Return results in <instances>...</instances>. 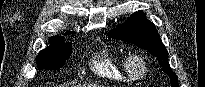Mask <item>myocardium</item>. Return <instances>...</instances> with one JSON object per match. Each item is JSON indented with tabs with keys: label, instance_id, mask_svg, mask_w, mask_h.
Returning a JSON list of instances; mask_svg holds the SVG:
<instances>
[{
	"label": "myocardium",
	"instance_id": "obj_1",
	"mask_svg": "<svg viewBox=\"0 0 205 87\" xmlns=\"http://www.w3.org/2000/svg\"><path fill=\"white\" fill-rule=\"evenodd\" d=\"M126 64L135 78H143L148 72V62L146 58L139 53H132L127 56Z\"/></svg>",
	"mask_w": 205,
	"mask_h": 87
}]
</instances>
